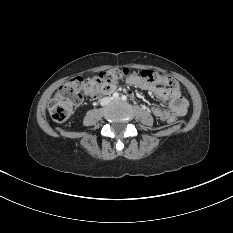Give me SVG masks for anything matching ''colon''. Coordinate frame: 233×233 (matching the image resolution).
<instances>
[{"label": "colon", "instance_id": "1", "mask_svg": "<svg viewBox=\"0 0 233 233\" xmlns=\"http://www.w3.org/2000/svg\"><path fill=\"white\" fill-rule=\"evenodd\" d=\"M130 71L127 68H113L97 74L95 77H74L62 85L49 104V113L56 122L67 120L74 108L81 103L84 96L94 97L114 88ZM139 78L150 85H161L172 93H179L178 82L169 75L159 74L154 70H143ZM168 123H174L170 118Z\"/></svg>", "mask_w": 233, "mask_h": 233}]
</instances>
